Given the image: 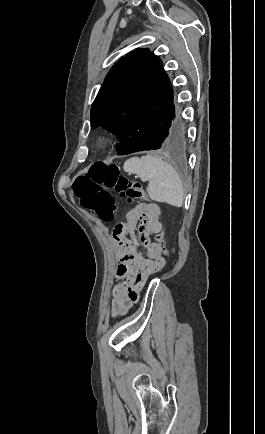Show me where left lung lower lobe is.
Returning <instances> with one entry per match:
<instances>
[{
  "label": "left lung lower lobe",
  "instance_id": "0a47b994",
  "mask_svg": "<svg viewBox=\"0 0 265 434\" xmlns=\"http://www.w3.org/2000/svg\"><path fill=\"white\" fill-rule=\"evenodd\" d=\"M188 147L186 129L181 123L173 107L165 120L158 126L143 129L135 136L125 138L116 145L119 155L139 151H150L157 154H179Z\"/></svg>",
  "mask_w": 265,
  "mask_h": 434
}]
</instances>
